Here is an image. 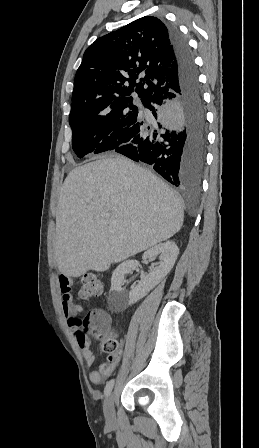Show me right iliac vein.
<instances>
[{
	"instance_id": "obj_1",
	"label": "right iliac vein",
	"mask_w": 259,
	"mask_h": 448,
	"mask_svg": "<svg viewBox=\"0 0 259 448\" xmlns=\"http://www.w3.org/2000/svg\"><path fill=\"white\" fill-rule=\"evenodd\" d=\"M104 416L106 421L109 424H113L115 422V411H114V395L113 393H110L107 395L105 401H104Z\"/></svg>"
}]
</instances>
